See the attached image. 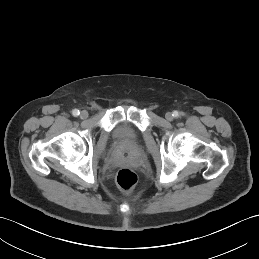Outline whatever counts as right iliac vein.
I'll return each mask as SVG.
<instances>
[{
	"label": "right iliac vein",
	"mask_w": 259,
	"mask_h": 259,
	"mask_svg": "<svg viewBox=\"0 0 259 259\" xmlns=\"http://www.w3.org/2000/svg\"><path fill=\"white\" fill-rule=\"evenodd\" d=\"M80 117L82 119H86L88 117V112L86 110L81 111Z\"/></svg>",
	"instance_id": "1"
}]
</instances>
